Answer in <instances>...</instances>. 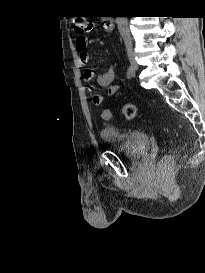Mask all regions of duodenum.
<instances>
[{"label": "duodenum", "instance_id": "duodenum-1", "mask_svg": "<svg viewBox=\"0 0 205 273\" xmlns=\"http://www.w3.org/2000/svg\"><path fill=\"white\" fill-rule=\"evenodd\" d=\"M113 26H114L113 20L109 18L105 21L103 28L105 31L109 32L112 31Z\"/></svg>", "mask_w": 205, "mask_h": 273}]
</instances>
